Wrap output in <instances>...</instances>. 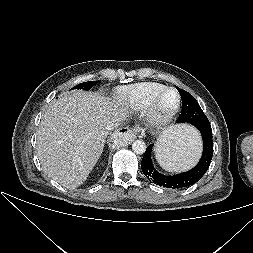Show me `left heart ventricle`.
Instances as JSON below:
<instances>
[{
    "mask_svg": "<svg viewBox=\"0 0 253 253\" xmlns=\"http://www.w3.org/2000/svg\"><path fill=\"white\" fill-rule=\"evenodd\" d=\"M177 103V94L174 91H168L164 94L160 102V111L166 113L170 111Z\"/></svg>",
    "mask_w": 253,
    "mask_h": 253,
    "instance_id": "b2bd125f",
    "label": "left heart ventricle"
}]
</instances>
